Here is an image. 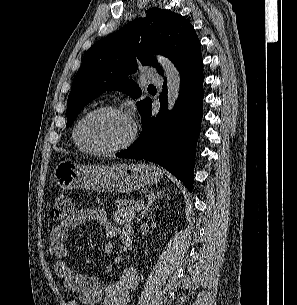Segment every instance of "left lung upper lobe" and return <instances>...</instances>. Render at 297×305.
<instances>
[{
	"instance_id": "left-lung-upper-lobe-1",
	"label": "left lung upper lobe",
	"mask_w": 297,
	"mask_h": 305,
	"mask_svg": "<svg viewBox=\"0 0 297 305\" xmlns=\"http://www.w3.org/2000/svg\"><path fill=\"white\" fill-rule=\"evenodd\" d=\"M155 53L169 58L178 70L183 66L203 68L200 41L191 23L180 14L151 8L145 18L133 20L88 49L68 97L66 127L105 91L120 90L133 99L140 97L139 86L124 77L135 72L138 63L153 65L164 75L152 56ZM149 100L137 102L140 112Z\"/></svg>"
}]
</instances>
